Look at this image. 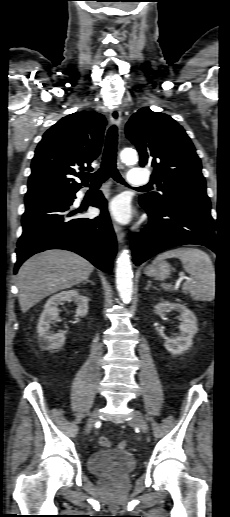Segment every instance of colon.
<instances>
[{
  "label": "colon",
  "instance_id": "1",
  "mask_svg": "<svg viewBox=\"0 0 230 517\" xmlns=\"http://www.w3.org/2000/svg\"><path fill=\"white\" fill-rule=\"evenodd\" d=\"M100 443L102 446H105V447H108L110 445V442L104 437L100 439ZM128 447H129V444L127 441H120L118 444V448L120 450H126V449H128Z\"/></svg>",
  "mask_w": 230,
  "mask_h": 517
}]
</instances>
